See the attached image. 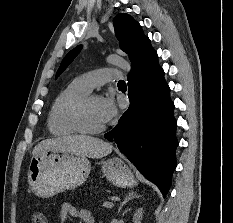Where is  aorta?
<instances>
[{
  "mask_svg": "<svg viewBox=\"0 0 233 223\" xmlns=\"http://www.w3.org/2000/svg\"><path fill=\"white\" fill-rule=\"evenodd\" d=\"M107 62L109 64H113V66H118V68H121V70H125V72H130V64L126 62V60H123V58H120V56H109L107 58Z\"/></svg>",
  "mask_w": 233,
  "mask_h": 223,
  "instance_id": "obj_1",
  "label": "aorta"
}]
</instances>
